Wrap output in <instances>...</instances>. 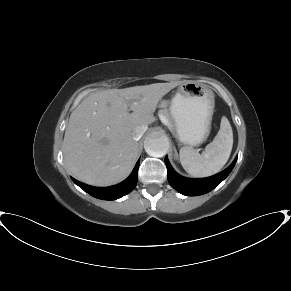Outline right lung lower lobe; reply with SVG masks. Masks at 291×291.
<instances>
[{
  "instance_id": "1",
  "label": "right lung lower lobe",
  "mask_w": 291,
  "mask_h": 291,
  "mask_svg": "<svg viewBox=\"0 0 291 291\" xmlns=\"http://www.w3.org/2000/svg\"><path fill=\"white\" fill-rule=\"evenodd\" d=\"M138 168H139V161L136 163L132 173L126 180H124L123 182L117 185L110 186V187H104V188L93 187V186L83 184L75 180L74 178H72V180L74 181L75 184H77L80 188H82L84 191H86L93 197H96L98 199H103V200H115L128 194L134 189L138 180V176H137Z\"/></svg>"
}]
</instances>
